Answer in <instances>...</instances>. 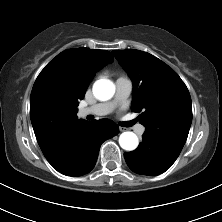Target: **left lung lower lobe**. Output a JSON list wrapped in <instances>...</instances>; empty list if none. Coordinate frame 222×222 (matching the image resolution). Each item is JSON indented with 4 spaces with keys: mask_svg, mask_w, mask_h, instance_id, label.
Wrapping results in <instances>:
<instances>
[{
    "mask_svg": "<svg viewBox=\"0 0 222 222\" xmlns=\"http://www.w3.org/2000/svg\"><path fill=\"white\" fill-rule=\"evenodd\" d=\"M173 131L182 134L177 127ZM173 136L178 137L174 134ZM180 152L170 144L166 137L156 132H145L139 147L132 152L124 153V157L133 172L153 176L168 170Z\"/></svg>",
    "mask_w": 222,
    "mask_h": 222,
    "instance_id": "0a47b994",
    "label": "left lung lower lobe"
}]
</instances>
